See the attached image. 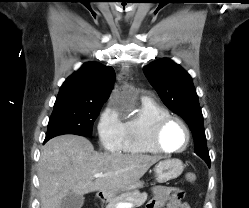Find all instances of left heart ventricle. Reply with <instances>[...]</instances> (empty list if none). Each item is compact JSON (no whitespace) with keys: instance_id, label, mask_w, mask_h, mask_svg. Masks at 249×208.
<instances>
[{"instance_id":"1","label":"left heart ventricle","mask_w":249,"mask_h":208,"mask_svg":"<svg viewBox=\"0 0 249 208\" xmlns=\"http://www.w3.org/2000/svg\"><path fill=\"white\" fill-rule=\"evenodd\" d=\"M161 141L167 149H179L186 141L185 130L179 123L171 122L163 130Z\"/></svg>"}]
</instances>
